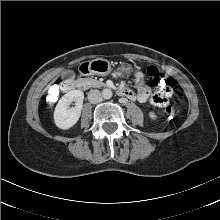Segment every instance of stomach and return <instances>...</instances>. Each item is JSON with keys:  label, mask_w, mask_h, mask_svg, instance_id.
I'll list each match as a JSON object with an SVG mask.
<instances>
[{"label": "stomach", "mask_w": 220, "mask_h": 220, "mask_svg": "<svg viewBox=\"0 0 220 220\" xmlns=\"http://www.w3.org/2000/svg\"><path fill=\"white\" fill-rule=\"evenodd\" d=\"M81 67L83 73L99 76L108 75L112 69L109 61L100 58L84 62Z\"/></svg>", "instance_id": "obj_1"}]
</instances>
